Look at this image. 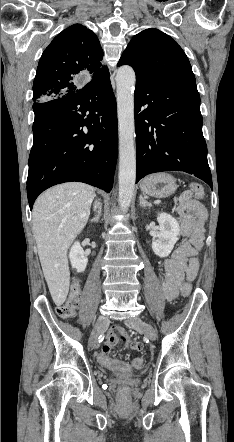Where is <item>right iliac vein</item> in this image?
Instances as JSON below:
<instances>
[{
    "instance_id": "63e3f726",
    "label": "right iliac vein",
    "mask_w": 234,
    "mask_h": 442,
    "mask_svg": "<svg viewBox=\"0 0 234 442\" xmlns=\"http://www.w3.org/2000/svg\"><path fill=\"white\" fill-rule=\"evenodd\" d=\"M107 324H108V318L104 315H100L91 333L90 337L91 347H94L96 345L99 334L101 333L102 330L106 328Z\"/></svg>"
}]
</instances>
